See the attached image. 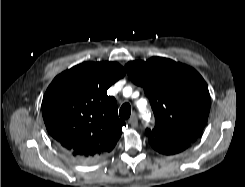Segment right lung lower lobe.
Instances as JSON below:
<instances>
[{"mask_svg":"<svg viewBox=\"0 0 245 187\" xmlns=\"http://www.w3.org/2000/svg\"><path fill=\"white\" fill-rule=\"evenodd\" d=\"M63 149V151H65L66 153L70 154L71 156H73L71 153H69L67 150H65L63 147H61ZM74 157V156H73ZM77 160L80 161H89L88 159L85 158H79V157H75Z\"/></svg>","mask_w":245,"mask_h":187,"instance_id":"right-lung-lower-lobe-1","label":"right lung lower lobe"}]
</instances>
